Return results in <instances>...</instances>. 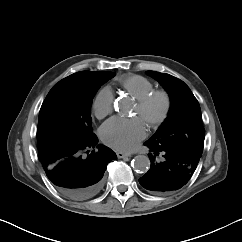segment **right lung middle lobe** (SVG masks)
Wrapping results in <instances>:
<instances>
[{
	"instance_id": "obj_1",
	"label": "right lung middle lobe",
	"mask_w": 242,
	"mask_h": 242,
	"mask_svg": "<svg viewBox=\"0 0 242 242\" xmlns=\"http://www.w3.org/2000/svg\"><path fill=\"white\" fill-rule=\"evenodd\" d=\"M115 73L99 74L86 83L58 82L39 113L38 149L55 141L82 143L92 136L91 104L102 84Z\"/></svg>"
}]
</instances>
